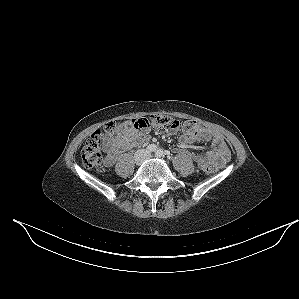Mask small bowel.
Masks as SVG:
<instances>
[{"instance_id":"1","label":"small bowel","mask_w":299,"mask_h":299,"mask_svg":"<svg viewBox=\"0 0 299 299\" xmlns=\"http://www.w3.org/2000/svg\"><path fill=\"white\" fill-rule=\"evenodd\" d=\"M149 138L147 131H137L132 128L125 127L122 129L118 139L107 148V156L105 158V166H112L117 155L126 152L136 143L147 140ZM204 140L212 142V149L201 154L192 153L191 157L199 168L206 164H214L216 167H223L230 159V150L224 138L217 132L210 129H200L195 136L182 135L179 138V148L184 150L188 148L193 141Z\"/></svg>"}]
</instances>
